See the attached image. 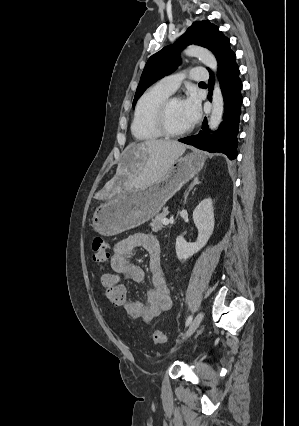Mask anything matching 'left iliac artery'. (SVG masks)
<instances>
[{
	"label": "left iliac artery",
	"instance_id": "1",
	"mask_svg": "<svg viewBox=\"0 0 299 426\" xmlns=\"http://www.w3.org/2000/svg\"><path fill=\"white\" fill-rule=\"evenodd\" d=\"M191 322H192V315H189L186 320L185 326H189Z\"/></svg>",
	"mask_w": 299,
	"mask_h": 426
}]
</instances>
